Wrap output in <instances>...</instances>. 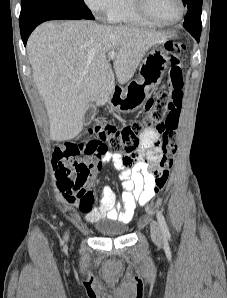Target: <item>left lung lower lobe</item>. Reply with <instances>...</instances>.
Masks as SVG:
<instances>
[{"instance_id":"1","label":"left lung lower lobe","mask_w":227,"mask_h":298,"mask_svg":"<svg viewBox=\"0 0 227 298\" xmlns=\"http://www.w3.org/2000/svg\"><path fill=\"white\" fill-rule=\"evenodd\" d=\"M194 38L199 42L200 36H197V37H194Z\"/></svg>"}]
</instances>
